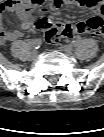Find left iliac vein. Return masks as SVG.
<instances>
[{
  "mask_svg": "<svg viewBox=\"0 0 104 137\" xmlns=\"http://www.w3.org/2000/svg\"><path fill=\"white\" fill-rule=\"evenodd\" d=\"M60 50L66 53H71L72 52V46L70 45H62L60 47Z\"/></svg>",
  "mask_w": 104,
  "mask_h": 137,
  "instance_id": "1",
  "label": "left iliac vein"
}]
</instances>
